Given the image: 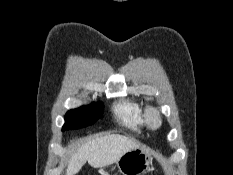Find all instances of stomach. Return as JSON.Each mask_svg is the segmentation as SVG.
Listing matches in <instances>:
<instances>
[{
	"mask_svg": "<svg viewBox=\"0 0 233 175\" xmlns=\"http://www.w3.org/2000/svg\"><path fill=\"white\" fill-rule=\"evenodd\" d=\"M151 163L150 150L145 146H139L123 154L116 165L123 175H141L149 168Z\"/></svg>",
	"mask_w": 233,
	"mask_h": 175,
	"instance_id": "0dacf381",
	"label": "stomach"
}]
</instances>
